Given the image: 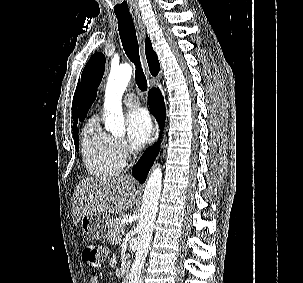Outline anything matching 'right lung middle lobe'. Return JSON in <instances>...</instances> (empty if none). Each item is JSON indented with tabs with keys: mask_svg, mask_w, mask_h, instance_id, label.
<instances>
[{
	"mask_svg": "<svg viewBox=\"0 0 303 283\" xmlns=\"http://www.w3.org/2000/svg\"><path fill=\"white\" fill-rule=\"evenodd\" d=\"M73 138H74V144H75L76 151H78V149H79V136H78L77 127L73 128Z\"/></svg>",
	"mask_w": 303,
	"mask_h": 283,
	"instance_id": "dd1d6c3e",
	"label": "right lung middle lobe"
}]
</instances>
